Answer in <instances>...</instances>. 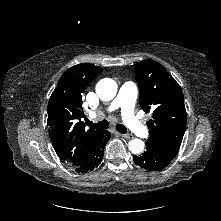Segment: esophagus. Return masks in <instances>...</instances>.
I'll use <instances>...</instances> for the list:
<instances>
[{"label":"esophagus","mask_w":221,"mask_h":221,"mask_svg":"<svg viewBox=\"0 0 221 221\" xmlns=\"http://www.w3.org/2000/svg\"><path fill=\"white\" fill-rule=\"evenodd\" d=\"M119 136L125 138V139H131L132 135L131 134H122V133H117Z\"/></svg>","instance_id":"obj_1"}]
</instances>
